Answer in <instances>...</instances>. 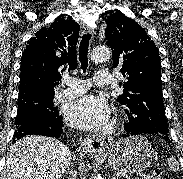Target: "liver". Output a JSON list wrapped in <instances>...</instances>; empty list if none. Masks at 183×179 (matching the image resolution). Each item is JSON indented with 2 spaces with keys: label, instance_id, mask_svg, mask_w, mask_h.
<instances>
[{
  "label": "liver",
  "instance_id": "1",
  "mask_svg": "<svg viewBox=\"0 0 183 179\" xmlns=\"http://www.w3.org/2000/svg\"><path fill=\"white\" fill-rule=\"evenodd\" d=\"M71 158V151L58 140L26 136L10 148L1 179H59Z\"/></svg>",
  "mask_w": 183,
  "mask_h": 179
}]
</instances>
